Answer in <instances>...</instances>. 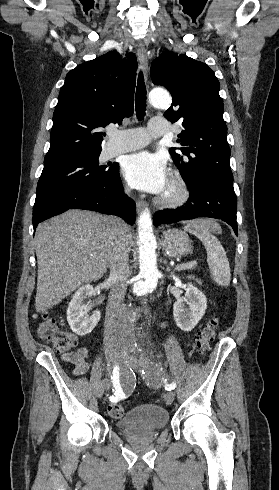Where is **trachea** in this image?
<instances>
[{"mask_svg":"<svg viewBox=\"0 0 279 490\" xmlns=\"http://www.w3.org/2000/svg\"><path fill=\"white\" fill-rule=\"evenodd\" d=\"M136 116L141 120L146 111V86L142 72L139 73L137 90L135 94Z\"/></svg>","mask_w":279,"mask_h":490,"instance_id":"obj_1","label":"trachea"}]
</instances>
